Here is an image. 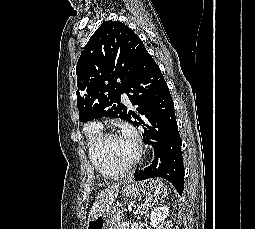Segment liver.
<instances>
[{
	"label": "liver",
	"mask_w": 255,
	"mask_h": 229,
	"mask_svg": "<svg viewBox=\"0 0 255 229\" xmlns=\"http://www.w3.org/2000/svg\"><path fill=\"white\" fill-rule=\"evenodd\" d=\"M121 184L122 183L112 184L98 194L89 212L88 219L95 217L113 204L118 196Z\"/></svg>",
	"instance_id": "obj_1"
}]
</instances>
